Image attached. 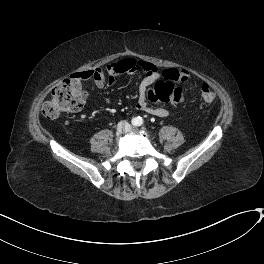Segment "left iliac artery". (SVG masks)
<instances>
[{"label": "left iliac artery", "instance_id": "1", "mask_svg": "<svg viewBox=\"0 0 264 264\" xmlns=\"http://www.w3.org/2000/svg\"><path fill=\"white\" fill-rule=\"evenodd\" d=\"M142 124H143V120L139 119L138 122H137V126H141Z\"/></svg>", "mask_w": 264, "mask_h": 264}]
</instances>
